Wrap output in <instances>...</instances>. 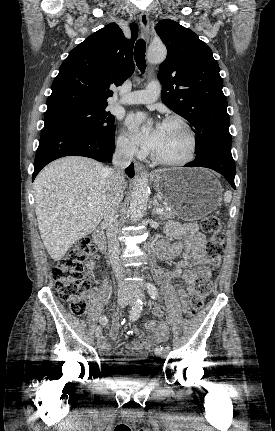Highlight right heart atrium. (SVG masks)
<instances>
[{
    "instance_id": "1",
    "label": "right heart atrium",
    "mask_w": 275,
    "mask_h": 431,
    "mask_svg": "<svg viewBox=\"0 0 275 431\" xmlns=\"http://www.w3.org/2000/svg\"><path fill=\"white\" fill-rule=\"evenodd\" d=\"M118 151L124 156H133L139 153L137 147L124 131H120L116 139Z\"/></svg>"
}]
</instances>
